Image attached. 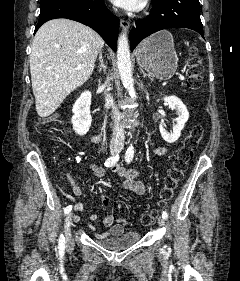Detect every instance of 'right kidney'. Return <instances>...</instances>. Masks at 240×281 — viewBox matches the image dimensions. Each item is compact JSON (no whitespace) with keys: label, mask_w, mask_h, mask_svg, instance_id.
Wrapping results in <instances>:
<instances>
[{"label":"right kidney","mask_w":240,"mask_h":281,"mask_svg":"<svg viewBox=\"0 0 240 281\" xmlns=\"http://www.w3.org/2000/svg\"><path fill=\"white\" fill-rule=\"evenodd\" d=\"M91 92L84 91L73 105L71 122L73 130L80 136L85 135L91 126Z\"/></svg>","instance_id":"ca27d5eb"}]
</instances>
